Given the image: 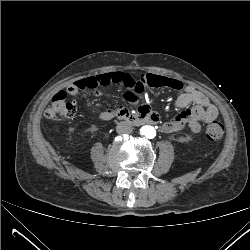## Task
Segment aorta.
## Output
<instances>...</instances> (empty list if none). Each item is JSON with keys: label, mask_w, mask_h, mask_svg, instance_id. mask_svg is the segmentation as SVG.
Instances as JSON below:
<instances>
[{"label": "aorta", "mask_w": 250, "mask_h": 250, "mask_svg": "<svg viewBox=\"0 0 250 250\" xmlns=\"http://www.w3.org/2000/svg\"><path fill=\"white\" fill-rule=\"evenodd\" d=\"M140 134L148 139H153L156 136V129L151 125H144L140 128Z\"/></svg>", "instance_id": "aorta-1"}]
</instances>
